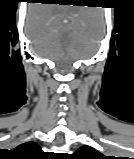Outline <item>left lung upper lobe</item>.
I'll list each match as a JSON object with an SVG mask.
<instances>
[{"label":"left lung upper lobe","mask_w":134,"mask_h":159,"mask_svg":"<svg viewBox=\"0 0 134 159\" xmlns=\"http://www.w3.org/2000/svg\"><path fill=\"white\" fill-rule=\"evenodd\" d=\"M71 159H108L90 146H83L70 157Z\"/></svg>","instance_id":"left-lung-upper-lobe-1"}]
</instances>
